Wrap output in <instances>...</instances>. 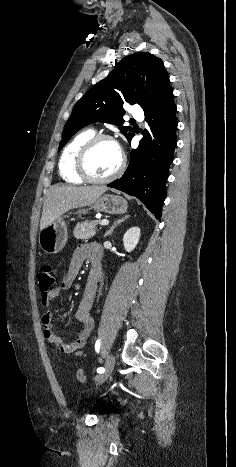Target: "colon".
I'll use <instances>...</instances> for the list:
<instances>
[{"instance_id":"colon-1","label":"colon","mask_w":236,"mask_h":467,"mask_svg":"<svg viewBox=\"0 0 236 467\" xmlns=\"http://www.w3.org/2000/svg\"><path fill=\"white\" fill-rule=\"evenodd\" d=\"M39 290L43 295L50 293L56 283V274L54 269L49 265L42 266L38 271ZM77 378L81 383L86 381L84 371L78 370Z\"/></svg>"}]
</instances>
